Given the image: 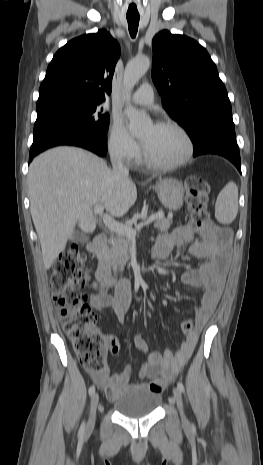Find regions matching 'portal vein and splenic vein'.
<instances>
[{
  "instance_id": "1",
  "label": "portal vein and splenic vein",
  "mask_w": 263,
  "mask_h": 465,
  "mask_svg": "<svg viewBox=\"0 0 263 465\" xmlns=\"http://www.w3.org/2000/svg\"><path fill=\"white\" fill-rule=\"evenodd\" d=\"M94 214H97L102 217L105 226L118 234H122L128 236L129 238H135L137 230H140L143 226L151 224L153 221L162 218L164 214L162 212H158L156 214H152L146 221L139 223L135 229L132 228L130 225L121 224L114 220V218L104 213V206L102 204H97L94 207Z\"/></svg>"
}]
</instances>
